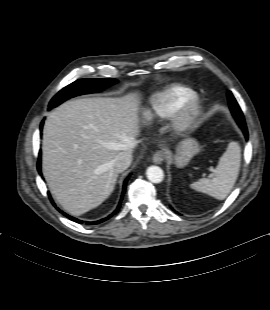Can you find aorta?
<instances>
[{
  "label": "aorta",
  "mask_w": 270,
  "mask_h": 310,
  "mask_svg": "<svg viewBox=\"0 0 270 310\" xmlns=\"http://www.w3.org/2000/svg\"><path fill=\"white\" fill-rule=\"evenodd\" d=\"M147 178L152 183H160L164 179V172L159 166H150L146 171Z\"/></svg>",
  "instance_id": "obj_1"
}]
</instances>
